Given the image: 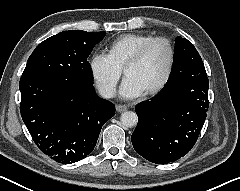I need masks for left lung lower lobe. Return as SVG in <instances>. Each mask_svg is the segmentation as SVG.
<instances>
[{"mask_svg": "<svg viewBox=\"0 0 240 191\" xmlns=\"http://www.w3.org/2000/svg\"><path fill=\"white\" fill-rule=\"evenodd\" d=\"M208 83L203 67H174L164 88L135 108L138 124L131 136L135 151L157 164L186 155L207 117Z\"/></svg>", "mask_w": 240, "mask_h": 191, "instance_id": "left-lung-lower-lobe-1", "label": "left lung lower lobe"}]
</instances>
